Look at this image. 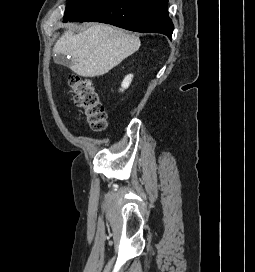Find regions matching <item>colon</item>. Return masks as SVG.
<instances>
[{
  "instance_id": "colon-1",
  "label": "colon",
  "mask_w": 255,
  "mask_h": 272,
  "mask_svg": "<svg viewBox=\"0 0 255 272\" xmlns=\"http://www.w3.org/2000/svg\"><path fill=\"white\" fill-rule=\"evenodd\" d=\"M69 91L75 105L82 111L86 121L95 131H103L107 124L105 108L98 89L89 78L70 75Z\"/></svg>"
}]
</instances>
